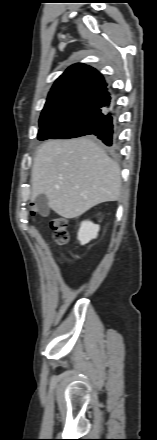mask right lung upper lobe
<instances>
[{"label": "right lung upper lobe", "mask_w": 157, "mask_h": 440, "mask_svg": "<svg viewBox=\"0 0 157 440\" xmlns=\"http://www.w3.org/2000/svg\"><path fill=\"white\" fill-rule=\"evenodd\" d=\"M102 75L85 64L69 67L49 92L40 122L78 120L89 127L110 110V94Z\"/></svg>", "instance_id": "1"}]
</instances>
